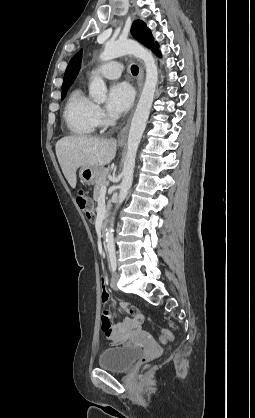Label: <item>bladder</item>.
<instances>
[{
  "mask_svg": "<svg viewBox=\"0 0 255 418\" xmlns=\"http://www.w3.org/2000/svg\"><path fill=\"white\" fill-rule=\"evenodd\" d=\"M141 356V350L133 346H118L104 350L99 358L98 364L102 369L125 372Z\"/></svg>",
  "mask_w": 255,
  "mask_h": 418,
  "instance_id": "bladder-1",
  "label": "bladder"
}]
</instances>
